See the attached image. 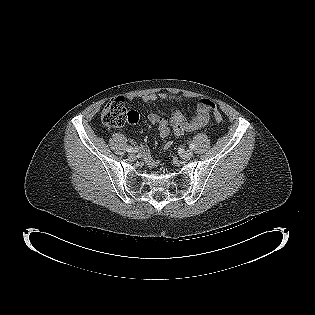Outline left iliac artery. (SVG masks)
<instances>
[{"label":"left iliac artery","instance_id":"left-iliac-artery-1","mask_svg":"<svg viewBox=\"0 0 315 315\" xmlns=\"http://www.w3.org/2000/svg\"><path fill=\"white\" fill-rule=\"evenodd\" d=\"M189 148H190V149H194V148H195V145H194L193 143H191V144L189 145Z\"/></svg>","mask_w":315,"mask_h":315}]
</instances>
